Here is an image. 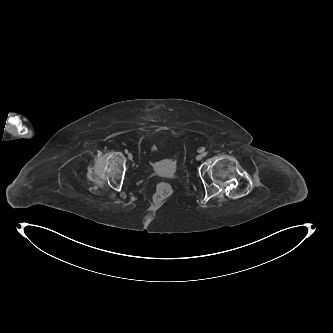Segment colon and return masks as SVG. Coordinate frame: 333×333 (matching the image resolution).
Returning <instances> with one entry per match:
<instances>
[{"instance_id": "obj_1", "label": "colon", "mask_w": 333, "mask_h": 333, "mask_svg": "<svg viewBox=\"0 0 333 333\" xmlns=\"http://www.w3.org/2000/svg\"><path fill=\"white\" fill-rule=\"evenodd\" d=\"M152 150H156V145H152ZM173 193L172 187L167 183H160L157 185L156 191L153 195V203L156 206L162 205Z\"/></svg>"}]
</instances>
